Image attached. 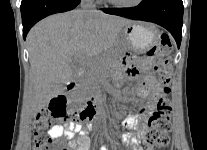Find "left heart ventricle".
Instances as JSON below:
<instances>
[{"mask_svg":"<svg viewBox=\"0 0 207 150\" xmlns=\"http://www.w3.org/2000/svg\"><path fill=\"white\" fill-rule=\"evenodd\" d=\"M116 1L121 2V3H131L135 0H116Z\"/></svg>","mask_w":207,"mask_h":150,"instance_id":"left-heart-ventricle-1","label":"left heart ventricle"}]
</instances>
